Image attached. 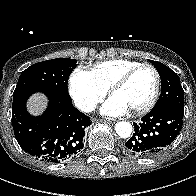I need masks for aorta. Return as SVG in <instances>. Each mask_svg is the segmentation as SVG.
Listing matches in <instances>:
<instances>
[{
    "label": "aorta",
    "mask_w": 196,
    "mask_h": 196,
    "mask_svg": "<svg viewBox=\"0 0 196 196\" xmlns=\"http://www.w3.org/2000/svg\"><path fill=\"white\" fill-rule=\"evenodd\" d=\"M115 131L121 138H128L132 133V125L126 121H120L115 125Z\"/></svg>",
    "instance_id": "obj_1"
}]
</instances>
